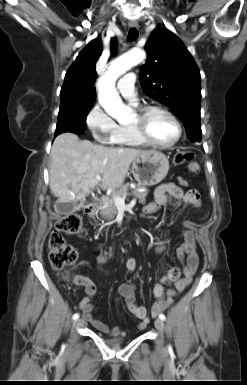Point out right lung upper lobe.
I'll use <instances>...</instances> for the list:
<instances>
[{"label": "right lung upper lobe", "instance_id": "right-lung-upper-lobe-1", "mask_svg": "<svg viewBox=\"0 0 247 385\" xmlns=\"http://www.w3.org/2000/svg\"><path fill=\"white\" fill-rule=\"evenodd\" d=\"M117 43L111 40V52L115 53ZM102 53V41L99 37L79 53L74 63L69 67L64 84L61 88V100L74 99L85 102H94L96 97L93 87L96 80L95 65Z\"/></svg>", "mask_w": 247, "mask_h": 385}]
</instances>
